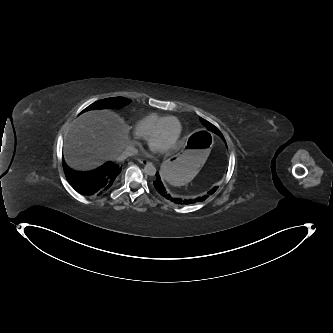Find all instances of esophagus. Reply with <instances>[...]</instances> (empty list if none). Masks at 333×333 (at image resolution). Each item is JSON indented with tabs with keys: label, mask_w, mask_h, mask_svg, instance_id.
<instances>
[{
	"label": "esophagus",
	"mask_w": 333,
	"mask_h": 333,
	"mask_svg": "<svg viewBox=\"0 0 333 333\" xmlns=\"http://www.w3.org/2000/svg\"><path fill=\"white\" fill-rule=\"evenodd\" d=\"M137 160L142 165H148L150 163V161L145 158H138Z\"/></svg>",
	"instance_id": "esophagus-1"
}]
</instances>
